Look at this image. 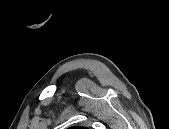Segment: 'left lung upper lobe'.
Returning <instances> with one entry per match:
<instances>
[{
  "instance_id": "left-lung-upper-lobe-1",
  "label": "left lung upper lobe",
  "mask_w": 169,
  "mask_h": 129,
  "mask_svg": "<svg viewBox=\"0 0 169 129\" xmlns=\"http://www.w3.org/2000/svg\"><path fill=\"white\" fill-rule=\"evenodd\" d=\"M77 128H79V127H72L71 129H77Z\"/></svg>"
}]
</instances>
